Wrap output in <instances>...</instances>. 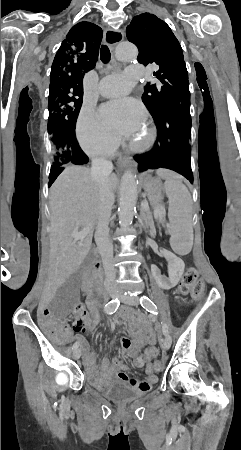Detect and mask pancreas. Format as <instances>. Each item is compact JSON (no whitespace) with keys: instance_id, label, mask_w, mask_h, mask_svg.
<instances>
[{"instance_id":"1","label":"pancreas","mask_w":241,"mask_h":450,"mask_svg":"<svg viewBox=\"0 0 241 450\" xmlns=\"http://www.w3.org/2000/svg\"><path fill=\"white\" fill-rule=\"evenodd\" d=\"M144 220H146V224L149 226V232H154V226H153V218L151 216V212H147L146 214H143Z\"/></svg>"}]
</instances>
